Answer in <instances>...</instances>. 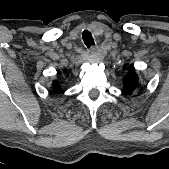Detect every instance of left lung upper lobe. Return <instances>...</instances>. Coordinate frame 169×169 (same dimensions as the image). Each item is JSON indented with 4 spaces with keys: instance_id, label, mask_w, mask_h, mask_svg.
<instances>
[{
    "instance_id": "left-lung-upper-lobe-1",
    "label": "left lung upper lobe",
    "mask_w": 169,
    "mask_h": 169,
    "mask_svg": "<svg viewBox=\"0 0 169 169\" xmlns=\"http://www.w3.org/2000/svg\"><path fill=\"white\" fill-rule=\"evenodd\" d=\"M124 87L123 92L126 94H131L138 87V76L135 73L134 69H130L127 75L124 77L123 81Z\"/></svg>"
}]
</instances>
